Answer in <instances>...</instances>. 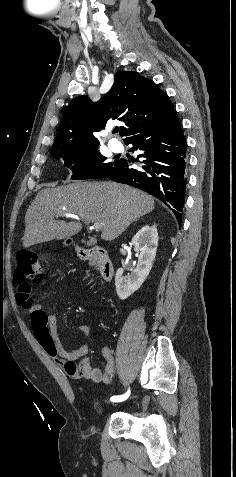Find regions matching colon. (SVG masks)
<instances>
[{
	"instance_id": "obj_1",
	"label": "colon",
	"mask_w": 236,
	"mask_h": 477,
	"mask_svg": "<svg viewBox=\"0 0 236 477\" xmlns=\"http://www.w3.org/2000/svg\"><path fill=\"white\" fill-rule=\"evenodd\" d=\"M15 280L17 287V300L21 306H26L31 301V291L34 286L43 281V268L39 256L34 251H21L16 257Z\"/></svg>"
}]
</instances>
